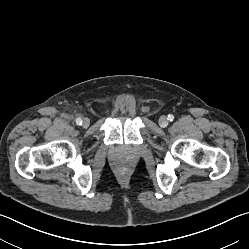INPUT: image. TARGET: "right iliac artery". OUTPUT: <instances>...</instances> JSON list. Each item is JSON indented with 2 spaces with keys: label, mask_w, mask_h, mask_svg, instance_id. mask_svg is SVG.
<instances>
[{
  "label": "right iliac artery",
  "mask_w": 249,
  "mask_h": 249,
  "mask_svg": "<svg viewBox=\"0 0 249 249\" xmlns=\"http://www.w3.org/2000/svg\"><path fill=\"white\" fill-rule=\"evenodd\" d=\"M76 124L77 125H81L82 124V119L81 118H77L76 119Z\"/></svg>",
  "instance_id": "obj_1"
}]
</instances>
